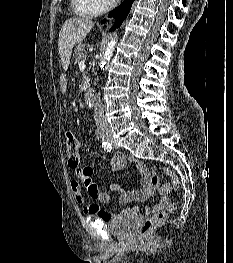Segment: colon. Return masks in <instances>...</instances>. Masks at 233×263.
Segmentation results:
<instances>
[{"mask_svg": "<svg viewBox=\"0 0 233 263\" xmlns=\"http://www.w3.org/2000/svg\"><path fill=\"white\" fill-rule=\"evenodd\" d=\"M80 150V142L74 137V135L71 132H69L67 134L65 152L67 154L68 163L70 167L79 169ZM163 171L166 172L172 178L173 185L175 188H177L179 186L178 177L169 169L163 168ZM151 182L155 189H161L163 187V185L160 184L159 179L154 171L151 174ZM174 209L175 204L173 202H169L162 210H159L151 217H149L142 225L141 235L143 237H147L156 226H158L166 220L168 214L173 212Z\"/></svg>", "mask_w": 233, "mask_h": 263, "instance_id": "5ec220e1", "label": "colon"}]
</instances>
